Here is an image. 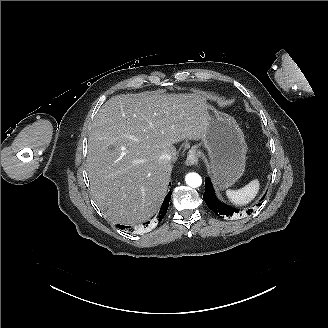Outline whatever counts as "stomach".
Returning a JSON list of instances; mask_svg holds the SVG:
<instances>
[{
	"instance_id": "obj_1",
	"label": "stomach",
	"mask_w": 328,
	"mask_h": 328,
	"mask_svg": "<svg viewBox=\"0 0 328 328\" xmlns=\"http://www.w3.org/2000/svg\"><path fill=\"white\" fill-rule=\"evenodd\" d=\"M202 142L209 155V171L219 188H227L244 173L247 144L238 123L208 106Z\"/></svg>"
}]
</instances>
